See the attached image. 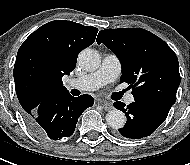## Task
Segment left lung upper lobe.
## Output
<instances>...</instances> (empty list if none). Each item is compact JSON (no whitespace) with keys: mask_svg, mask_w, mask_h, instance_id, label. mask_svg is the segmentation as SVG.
<instances>
[{"mask_svg":"<svg viewBox=\"0 0 190 165\" xmlns=\"http://www.w3.org/2000/svg\"><path fill=\"white\" fill-rule=\"evenodd\" d=\"M103 43L120 59L122 76L134 99H158L174 104L180 84L179 63L162 39L142 28L101 30Z\"/></svg>","mask_w":190,"mask_h":165,"instance_id":"1","label":"left lung upper lobe"}]
</instances>
